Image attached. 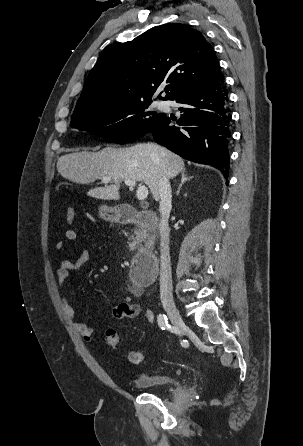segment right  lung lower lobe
Returning <instances> with one entry per match:
<instances>
[{
  "instance_id": "obj_1",
  "label": "right lung lower lobe",
  "mask_w": 303,
  "mask_h": 446,
  "mask_svg": "<svg viewBox=\"0 0 303 446\" xmlns=\"http://www.w3.org/2000/svg\"><path fill=\"white\" fill-rule=\"evenodd\" d=\"M181 104V118L164 117L149 132L154 140L181 157L229 173L228 146L231 111L223 77L174 99ZM176 121L179 126L170 123Z\"/></svg>"
}]
</instances>
